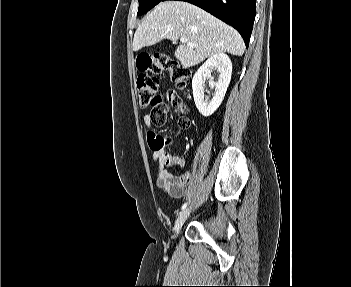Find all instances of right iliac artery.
<instances>
[{
  "label": "right iliac artery",
  "mask_w": 351,
  "mask_h": 287,
  "mask_svg": "<svg viewBox=\"0 0 351 287\" xmlns=\"http://www.w3.org/2000/svg\"><path fill=\"white\" fill-rule=\"evenodd\" d=\"M187 207V203H184L181 207V210H184Z\"/></svg>",
  "instance_id": "right-iliac-artery-1"
}]
</instances>
